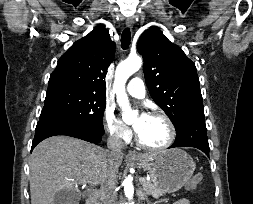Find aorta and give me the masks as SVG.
<instances>
[{
  "label": "aorta",
  "mask_w": 253,
  "mask_h": 204,
  "mask_svg": "<svg viewBox=\"0 0 253 204\" xmlns=\"http://www.w3.org/2000/svg\"><path fill=\"white\" fill-rule=\"evenodd\" d=\"M141 65L142 59L139 56H133L121 62L116 68L113 87L117 96V102L122 108V118L125 122L133 121L137 115V111L132 110L129 106L128 97L125 91V84L127 79L140 69ZM123 185L126 197L131 200L134 195L132 178L128 176L124 180Z\"/></svg>",
  "instance_id": "aorta-1"
}]
</instances>
